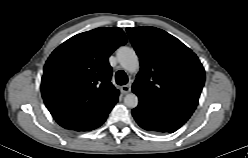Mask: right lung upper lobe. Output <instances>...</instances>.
I'll list each match as a JSON object with an SVG mask.
<instances>
[{
	"mask_svg": "<svg viewBox=\"0 0 248 158\" xmlns=\"http://www.w3.org/2000/svg\"><path fill=\"white\" fill-rule=\"evenodd\" d=\"M126 42L120 28H97L71 37L53 51L44 66L41 93L58 124L77 129L115 105L118 90L110 82L108 57Z\"/></svg>",
	"mask_w": 248,
	"mask_h": 158,
	"instance_id": "obj_1",
	"label": "right lung upper lobe"
}]
</instances>
